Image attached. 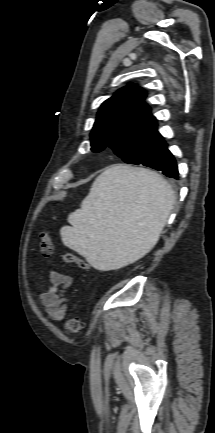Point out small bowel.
<instances>
[{"label":"small bowel","mask_w":215,"mask_h":433,"mask_svg":"<svg viewBox=\"0 0 215 433\" xmlns=\"http://www.w3.org/2000/svg\"><path fill=\"white\" fill-rule=\"evenodd\" d=\"M50 287L39 296L48 318L53 322H59L66 316L67 299L66 290L72 283V277L55 270L49 271Z\"/></svg>","instance_id":"small-bowel-1"}]
</instances>
